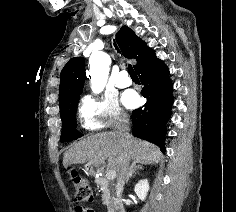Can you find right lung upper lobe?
<instances>
[{"label": "right lung upper lobe", "mask_w": 236, "mask_h": 212, "mask_svg": "<svg viewBox=\"0 0 236 212\" xmlns=\"http://www.w3.org/2000/svg\"><path fill=\"white\" fill-rule=\"evenodd\" d=\"M116 41L124 57L135 59V70L146 60L151 49L146 46L127 26H123L116 34ZM85 79V62L83 57L72 58L67 62L60 74L59 105L60 110L76 98H79Z\"/></svg>", "instance_id": "1"}]
</instances>
